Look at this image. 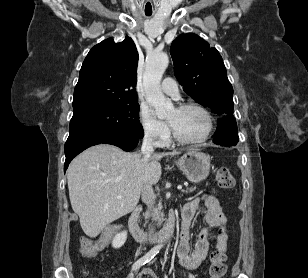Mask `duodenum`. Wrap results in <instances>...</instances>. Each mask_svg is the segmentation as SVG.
<instances>
[{
  "instance_id": "duodenum-1",
  "label": "duodenum",
  "mask_w": 308,
  "mask_h": 278,
  "mask_svg": "<svg viewBox=\"0 0 308 278\" xmlns=\"http://www.w3.org/2000/svg\"><path fill=\"white\" fill-rule=\"evenodd\" d=\"M141 207H137L130 215L129 229L133 237L141 243H162L172 237L175 231V217L172 215L165 226L156 234H149L139 224Z\"/></svg>"
}]
</instances>
